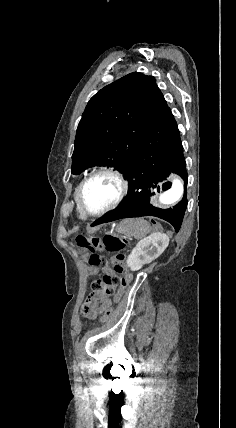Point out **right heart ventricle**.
<instances>
[{
	"instance_id": "e07e8e85",
	"label": "right heart ventricle",
	"mask_w": 236,
	"mask_h": 428,
	"mask_svg": "<svg viewBox=\"0 0 236 428\" xmlns=\"http://www.w3.org/2000/svg\"><path fill=\"white\" fill-rule=\"evenodd\" d=\"M79 184H80V181H77L76 184L74 185V188H73V198H74L75 203H76L78 217L81 218V219H85L86 218V214L82 211V209L80 207V204H79V200H78V188H79Z\"/></svg>"
}]
</instances>
